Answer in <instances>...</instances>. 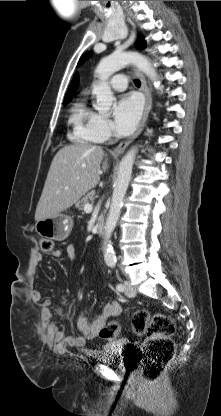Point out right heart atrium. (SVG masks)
I'll list each match as a JSON object with an SVG mask.
<instances>
[{"label": "right heart atrium", "instance_id": "1", "mask_svg": "<svg viewBox=\"0 0 221 416\" xmlns=\"http://www.w3.org/2000/svg\"><path fill=\"white\" fill-rule=\"evenodd\" d=\"M91 127L101 141L108 140L114 135L112 122L99 113H93Z\"/></svg>", "mask_w": 221, "mask_h": 416}]
</instances>
